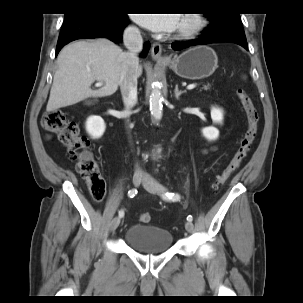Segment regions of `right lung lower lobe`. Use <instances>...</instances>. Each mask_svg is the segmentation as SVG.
I'll return each instance as SVG.
<instances>
[{
    "instance_id": "right-lung-lower-lobe-1",
    "label": "right lung lower lobe",
    "mask_w": 303,
    "mask_h": 303,
    "mask_svg": "<svg viewBox=\"0 0 303 303\" xmlns=\"http://www.w3.org/2000/svg\"><path fill=\"white\" fill-rule=\"evenodd\" d=\"M128 23L126 14H108L95 10L66 14L57 42L56 56L62 47L77 39L105 37L118 43ZM149 48L150 43L146 42L142 51L143 56L147 54Z\"/></svg>"
}]
</instances>
